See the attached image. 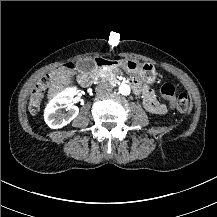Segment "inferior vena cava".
Returning a JSON list of instances; mask_svg holds the SVG:
<instances>
[{
	"label": "inferior vena cava",
	"instance_id": "1",
	"mask_svg": "<svg viewBox=\"0 0 217 217\" xmlns=\"http://www.w3.org/2000/svg\"><path fill=\"white\" fill-rule=\"evenodd\" d=\"M112 90L111 86L106 83V82H102V83H99L97 86H96V91L98 93H108Z\"/></svg>",
	"mask_w": 217,
	"mask_h": 217
}]
</instances>
